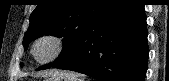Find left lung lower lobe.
Instances as JSON below:
<instances>
[{
	"label": "left lung lower lobe",
	"mask_w": 169,
	"mask_h": 81,
	"mask_svg": "<svg viewBox=\"0 0 169 81\" xmlns=\"http://www.w3.org/2000/svg\"><path fill=\"white\" fill-rule=\"evenodd\" d=\"M147 24L141 0H112L86 28L71 57L56 68L100 81H144Z\"/></svg>",
	"instance_id": "left-lung-lower-lobe-1"
}]
</instances>
